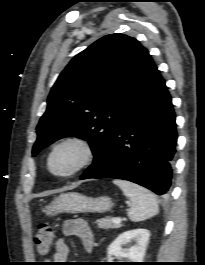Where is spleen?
<instances>
[{
    "instance_id": "1",
    "label": "spleen",
    "mask_w": 205,
    "mask_h": 265,
    "mask_svg": "<svg viewBox=\"0 0 205 265\" xmlns=\"http://www.w3.org/2000/svg\"><path fill=\"white\" fill-rule=\"evenodd\" d=\"M113 183L130 199L128 214L133 222L143 221L158 214V202L149 190L124 180H114Z\"/></svg>"
}]
</instances>
